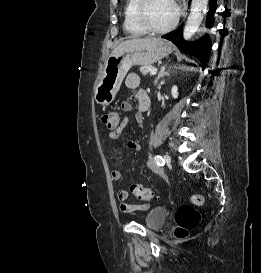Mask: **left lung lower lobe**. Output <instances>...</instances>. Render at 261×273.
<instances>
[{"label": "left lung lower lobe", "mask_w": 261, "mask_h": 273, "mask_svg": "<svg viewBox=\"0 0 261 273\" xmlns=\"http://www.w3.org/2000/svg\"><path fill=\"white\" fill-rule=\"evenodd\" d=\"M216 8V0H210L209 12L206 19L207 27H211L213 24ZM162 38L172 41L180 50L197 57L200 60L203 69L206 67L211 50V42L208 36H204L198 41L190 44L183 40L181 26L178 30L163 35Z\"/></svg>", "instance_id": "0a47b994"}]
</instances>
